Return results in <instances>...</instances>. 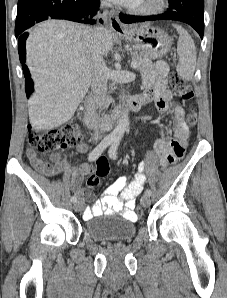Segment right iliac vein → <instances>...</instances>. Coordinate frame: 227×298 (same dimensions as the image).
Listing matches in <instances>:
<instances>
[{"label":"right iliac vein","instance_id":"63e3f726","mask_svg":"<svg viewBox=\"0 0 227 298\" xmlns=\"http://www.w3.org/2000/svg\"><path fill=\"white\" fill-rule=\"evenodd\" d=\"M83 203L82 202H79V201H76L75 203H74V210L76 211V212H80L81 210H83Z\"/></svg>","mask_w":227,"mask_h":298}]
</instances>
